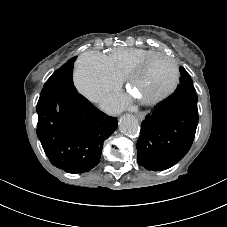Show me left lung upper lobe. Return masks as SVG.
<instances>
[{"instance_id":"5c2ea615","label":"left lung upper lobe","mask_w":227,"mask_h":227,"mask_svg":"<svg viewBox=\"0 0 227 227\" xmlns=\"http://www.w3.org/2000/svg\"><path fill=\"white\" fill-rule=\"evenodd\" d=\"M181 77H180V84L178 85L175 92L182 93L187 91H194L193 80L188 72L181 67L180 68Z\"/></svg>"}]
</instances>
